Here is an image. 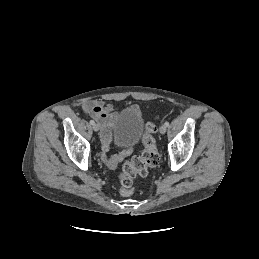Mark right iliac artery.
Wrapping results in <instances>:
<instances>
[{
    "mask_svg": "<svg viewBox=\"0 0 259 259\" xmlns=\"http://www.w3.org/2000/svg\"><path fill=\"white\" fill-rule=\"evenodd\" d=\"M90 124H91V125H94L95 122H94L93 120H90Z\"/></svg>",
    "mask_w": 259,
    "mask_h": 259,
    "instance_id": "82829eb1",
    "label": "right iliac artery"
}]
</instances>
